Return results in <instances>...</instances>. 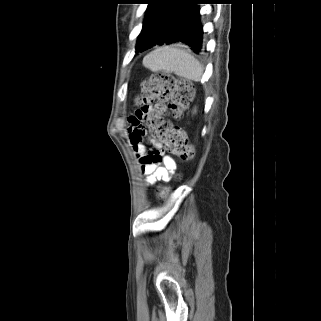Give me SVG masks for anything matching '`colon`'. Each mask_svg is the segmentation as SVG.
<instances>
[{"mask_svg":"<svg viewBox=\"0 0 321 321\" xmlns=\"http://www.w3.org/2000/svg\"><path fill=\"white\" fill-rule=\"evenodd\" d=\"M192 97L191 83L161 73L150 76L142 83L136 102L142 108L150 105L155 106L158 111L168 108L175 119H180ZM150 128L152 138L159 145L157 157L170 153L182 160H190L194 156V148L181 127L155 116L150 121Z\"/></svg>","mask_w":321,"mask_h":321,"instance_id":"colon-1","label":"colon"}]
</instances>
